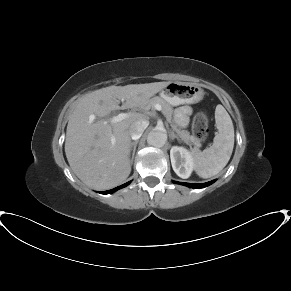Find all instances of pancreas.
Instances as JSON below:
<instances>
[{"mask_svg":"<svg viewBox=\"0 0 291 291\" xmlns=\"http://www.w3.org/2000/svg\"><path fill=\"white\" fill-rule=\"evenodd\" d=\"M155 104L161 105L163 115L166 117L168 122L172 123L173 108L169 103H167L161 97L156 96V97L149 99L143 108H144V110H149ZM172 128L177 133V135L181 138V140L184 141L185 143L193 144V145H195L196 148L201 147L200 139H198L194 136H191L187 130H182L174 124H172Z\"/></svg>","mask_w":291,"mask_h":291,"instance_id":"pancreas-1","label":"pancreas"}]
</instances>
